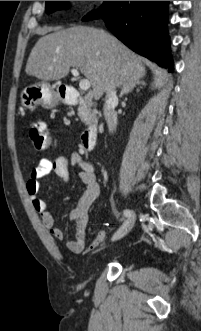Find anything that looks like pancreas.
I'll return each instance as SVG.
<instances>
[{
	"label": "pancreas",
	"mask_w": 201,
	"mask_h": 331,
	"mask_svg": "<svg viewBox=\"0 0 201 331\" xmlns=\"http://www.w3.org/2000/svg\"><path fill=\"white\" fill-rule=\"evenodd\" d=\"M96 113V110H87L83 107L78 108V116L80 117L81 121L86 125L91 123L92 119L95 118Z\"/></svg>",
	"instance_id": "1"
}]
</instances>
